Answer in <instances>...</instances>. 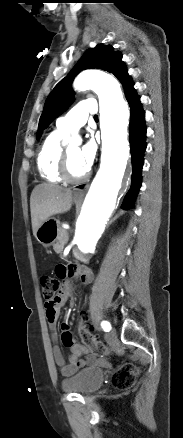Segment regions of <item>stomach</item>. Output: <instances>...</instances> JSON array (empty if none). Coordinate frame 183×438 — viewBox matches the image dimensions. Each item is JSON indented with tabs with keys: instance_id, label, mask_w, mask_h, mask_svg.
I'll list each match as a JSON object with an SVG mask.
<instances>
[{
	"instance_id": "stomach-1",
	"label": "stomach",
	"mask_w": 183,
	"mask_h": 438,
	"mask_svg": "<svg viewBox=\"0 0 183 438\" xmlns=\"http://www.w3.org/2000/svg\"><path fill=\"white\" fill-rule=\"evenodd\" d=\"M74 201L77 202L78 199L75 197ZM61 229L58 220L47 219L38 228L36 238L44 247L48 248L57 242Z\"/></svg>"
}]
</instances>
